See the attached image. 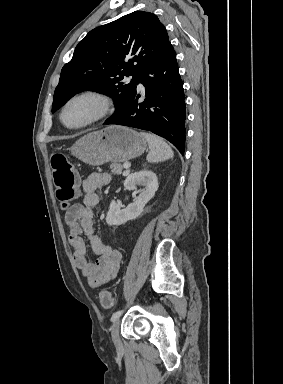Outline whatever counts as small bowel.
I'll use <instances>...</instances> for the list:
<instances>
[{"label":"small bowel","instance_id":"c3829d8e","mask_svg":"<svg viewBox=\"0 0 283 384\" xmlns=\"http://www.w3.org/2000/svg\"><path fill=\"white\" fill-rule=\"evenodd\" d=\"M110 180V175L102 172L87 176L82 182L85 193L83 203L72 205L65 214L68 241L74 251V263L92 288L100 287L113 279L122 258L121 252L105 244L94 229L93 211L99 202V191ZM83 236L92 252L98 256L95 261L87 257V245Z\"/></svg>","mask_w":283,"mask_h":384}]
</instances>
